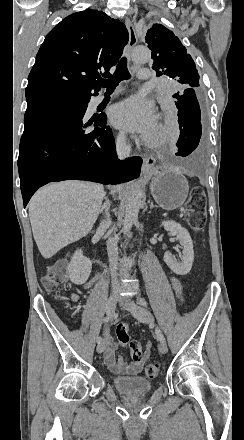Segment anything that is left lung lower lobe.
I'll use <instances>...</instances> for the list:
<instances>
[{"label":"left lung lower lobe","instance_id":"left-lung-lower-lobe-1","mask_svg":"<svg viewBox=\"0 0 244 440\" xmlns=\"http://www.w3.org/2000/svg\"><path fill=\"white\" fill-rule=\"evenodd\" d=\"M173 97L176 98L175 105L178 109L180 128L179 140L176 143L179 149L176 155L185 157L194 151L200 142L201 110L197 93L193 88L177 92Z\"/></svg>","mask_w":244,"mask_h":440}]
</instances>
